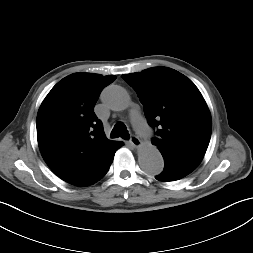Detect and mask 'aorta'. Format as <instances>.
Here are the masks:
<instances>
[{
    "mask_svg": "<svg viewBox=\"0 0 253 253\" xmlns=\"http://www.w3.org/2000/svg\"><path fill=\"white\" fill-rule=\"evenodd\" d=\"M104 105L113 111L125 110L130 105V96L121 86L110 85L106 87L101 95ZM138 162L140 167L148 174L157 175L164 168V161L159 150L151 145H143L138 151Z\"/></svg>",
    "mask_w": 253,
    "mask_h": 253,
    "instance_id": "1",
    "label": "aorta"
}]
</instances>
